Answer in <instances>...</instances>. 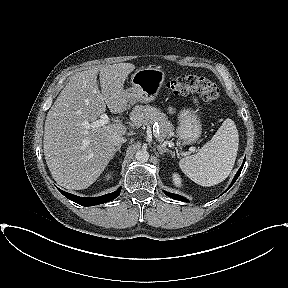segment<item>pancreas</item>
Segmentation results:
<instances>
[{
    "instance_id": "pancreas-1",
    "label": "pancreas",
    "mask_w": 288,
    "mask_h": 288,
    "mask_svg": "<svg viewBox=\"0 0 288 288\" xmlns=\"http://www.w3.org/2000/svg\"><path fill=\"white\" fill-rule=\"evenodd\" d=\"M131 122L137 126H144L158 122L159 124V140L169 139L174 135V126L168 120L166 115L156 107L146 105H137L130 113Z\"/></svg>"
}]
</instances>
